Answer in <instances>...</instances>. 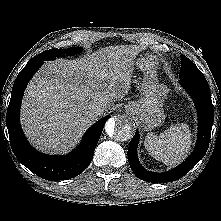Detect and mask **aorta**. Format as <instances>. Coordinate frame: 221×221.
Instances as JSON below:
<instances>
[{"label": "aorta", "instance_id": "obj_1", "mask_svg": "<svg viewBox=\"0 0 221 221\" xmlns=\"http://www.w3.org/2000/svg\"><path fill=\"white\" fill-rule=\"evenodd\" d=\"M134 124L125 115L113 116L105 124V132L116 141H127L134 135Z\"/></svg>", "mask_w": 221, "mask_h": 221}]
</instances>
